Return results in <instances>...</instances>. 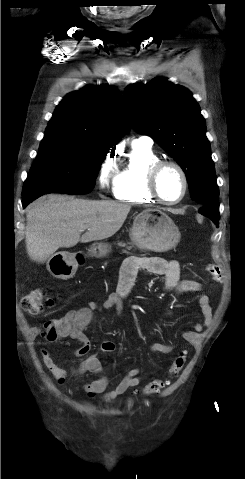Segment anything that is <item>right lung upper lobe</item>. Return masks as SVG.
Masks as SVG:
<instances>
[{
	"mask_svg": "<svg viewBox=\"0 0 245 479\" xmlns=\"http://www.w3.org/2000/svg\"><path fill=\"white\" fill-rule=\"evenodd\" d=\"M130 129L118 91L111 86H100L68 94L57 106L45 133L110 149Z\"/></svg>",
	"mask_w": 245,
	"mask_h": 479,
	"instance_id": "right-lung-upper-lobe-1",
	"label": "right lung upper lobe"
}]
</instances>
